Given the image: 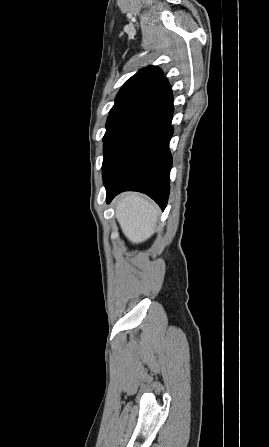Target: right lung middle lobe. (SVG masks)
Instances as JSON below:
<instances>
[{
    "mask_svg": "<svg viewBox=\"0 0 269 447\" xmlns=\"http://www.w3.org/2000/svg\"><path fill=\"white\" fill-rule=\"evenodd\" d=\"M129 112H116V113H110L107 123H106V133L104 135L103 141L104 145L106 140L109 138L113 130L116 128V126L119 124V122L125 118Z\"/></svg>",
    "mask_w": 269,
    "mask_h": 447,
    "instance_id": "right-lung-middle-lobe-1",
    "label": "right lung middle lobe"
}]
</instances>
